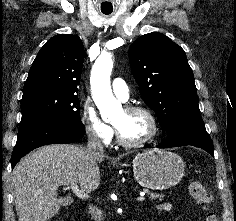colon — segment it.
<instances>
[{
	"label": "colon",
	"mask_w": 236,
	"mask_h": 221,
	"mask_svg": "<svg viewBox=\"0 0 236 221\" xmlns=\"http://www.w3.org/2000/svg\"><path fill=\"white\" fill-rule=\"evenodd\" d=\"M190 195L202 206L205 211V221H218L217 216L213 212L212 196L207 188L198 181H193L189 185Z\"/></svg>",
	"instance_id": "1"
}]
</instances>
